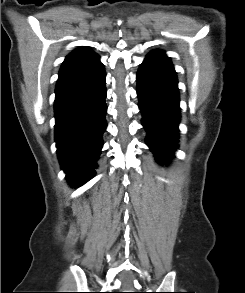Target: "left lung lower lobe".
Listing matches in <instances>:
<instances>
[{
    "instance_id": "0a47b994",
    "label": "left lung lower lobe",
    "mask_w": 245,
    "mask_h": 293,
    "mask_svg": "<svg viewBox=\"0 0 245 293\" xmlns=\"http://www.w3.org/2000/svg\"><path fill=\"white\" fill-rule=\"evenodd\" d=\"M137 94L146 144L158 161L166 163L177 149L180 100L176 72L163 51L150 52L141 64Z\"/></svg>"
}]
</instances>
